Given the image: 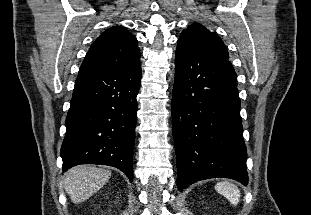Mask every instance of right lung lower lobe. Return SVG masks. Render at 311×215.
Wrapping results in <instances>:
<instances>
[{
	"label": "right lung lower lobe",
	"mask_w": 311,
	"mask_h": 215,
	"mask_svg": "<svg viewBox=\"0 0 311 215\" xmlns=\"http://www.w3.org/2000/svg\"><path fill=\"white\" fill-rule=\"evenodd\" d=\"M141 74V63L130 69L80 68L60 152L64 172L79 164L109 165L132 182Z\"/></svg>",
	"instance_id": "98d812e1"
}]
</instances>
